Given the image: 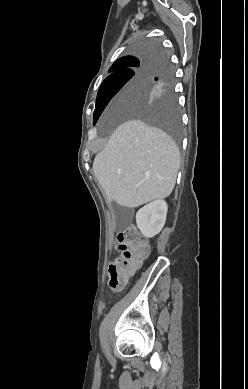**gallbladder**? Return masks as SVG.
<instances>
[{
    "mask_svg": "<svg viewBox=\"0 0 248 389\" xmlns=\"http://www.w3.org/2000/svg\"><path fill=\"white\" fill-rule=\"evenodd\" d=\"M115 208H117V206L115 205ZM122 210V214L120 215V221H128L130 220V210L129 209H121Z\"/></svg>",
    "mask_w": 248,
    "mask_h": 389,
    "instance_id": "1",
    "label": "gallbladder"
}]
</instances>
